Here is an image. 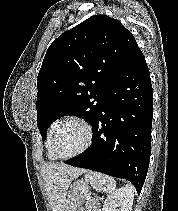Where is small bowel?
Segmentation results:
<instances>
[{
  "label": "small bowel",
  "instance_id": "c3829d8e",
  "mask_svg": "<svg viewBox=\"0 0 178 211\" xmlns=\"http://www.w3.org/2000/svg\"><path fill=\"white\" fill-rule=\"evenodd\" d=\"M79 211H100V205L99 203L94 202L89 206L81 208Z\"/></svg>",
  "mask_w": 178,
  "mask_h": 211
}]
</instances>
